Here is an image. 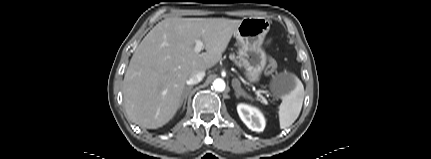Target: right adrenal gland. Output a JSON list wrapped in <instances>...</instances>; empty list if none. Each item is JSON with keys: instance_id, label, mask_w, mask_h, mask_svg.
<instances>
[{"instance_id": "1", "label": "right adrenal gland", "mask_w": 431, "mask_h": 159, "mask_svg": "<svg viewBox=\"0 0 431 159\" xmlns=\"http://www.w3.org/2000/svg\"><path fill=\"white\" fill-rule=\"evenodd\" d=\"M192 88H193V86H189V87H186L184 89V92H183V95H182V98H181V103H180V107L183 104V110L182 111L185 110V106H186V100H187V96H188L187 90H191Z\"/></svg>"}]
</instances>
